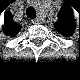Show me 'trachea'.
<instances>
[{
    "instance_id": "1",
    "label": "trachea",
    "mask_w": 80,
    "mask_h": 80,
    "mask_svg": "<svg viewBox=\"0 0 80 80\" xmlns=\"http://www.w3.org/2000/svg\"><path fill=\"white\" fill-rule=\"evenodd\" d=\"M27 17L30 19L36 18V11L33 7H29L26 10Z\"/></svg>"
}]
</instances>
